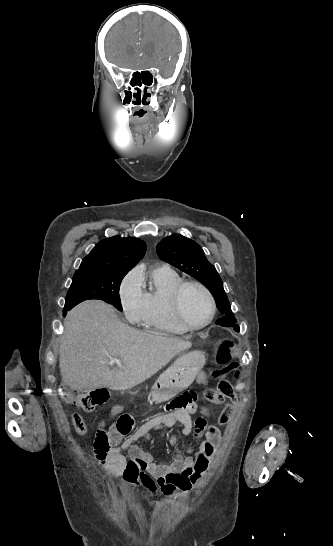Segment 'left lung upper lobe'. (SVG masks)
I'll use <instances>...</instances> for the list:
<instances>
[{
  "mask_svg": "<svg viewBox=\"0 0 333 546\" xmlns=\"http://www.w3.org/2000/svg\"><path fill=\"white\" fill-rule=\"evenodd\" d=\"M156 250L160 259L191 275L207 287L214 296L218 310L225 317L235 319L223 289V282L215 267L205 257L200 245L180 234H173L164 238Z\"/></svg>",
  "mask_w": 333,
  "mask_h": 546,
  "instance_id": "1",
  "label": "left lung upper lobe"
}]
</instances>
